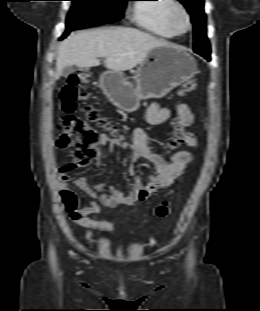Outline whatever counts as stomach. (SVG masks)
Segmentation results:
<instances>
[{"instance_id": "stomach-1", "label": "stomach", "mask_w": 260, "mask_h": 311, "mask_svg": "<svg viewBox=\"0 0 260 311\" xmlns=\"http://www.w3.org/2000/svg\"><path fill=\"white\" fill-rule=\"evenodd\" d=\"M197 63L185 49L167 44L153 48L137 69L134 84L121 72L109 70L100 76L101 89L120 109L132 112L141 99L162 98L197 74Z\"/></svg>"}]
</instances>
